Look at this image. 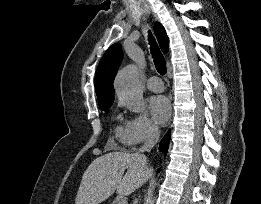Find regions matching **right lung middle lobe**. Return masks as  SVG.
<instances>
[{
  "instance_id": "dd1d6c3e",
  "label": "right lung middle lobe",
  "mask_w": 261,
  "mask_h": 204,
  "mask_svg": "<svg viewBox=\"0 0 261 204\" xmlns=\"http://www.w3.org/2000/svg\"><path fill=\"white\" fill-rule=\"evenodd\" d=\"M112 104H113V101L112 102H107L105 104H100L99 107H100L101 110L107 111V110L110 109Z\"/></svg>"
}]
</instances>
